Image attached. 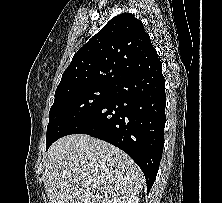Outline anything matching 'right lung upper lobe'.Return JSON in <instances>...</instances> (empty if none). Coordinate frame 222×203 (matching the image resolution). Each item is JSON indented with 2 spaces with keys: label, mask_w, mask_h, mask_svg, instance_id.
Instances as JSON below:
<instances>
[{
  "label": "right lung upper lobe",
  "mask_w": 222,
  "mask_h": 203,
  "mask_svg": "<svg viewBox=\"0 0 222 203\" xmlns=\"http://www.w3.org/2000/svg\"><path fill=\"white\" fill-rule=\"evenodd\" d=\"M143 23L130 13L112 18L74 56L56 91L84 85L112 87L157 59Z\"/></svg>",
  "instance_id": "cb5924a9"
}]
</instances>
